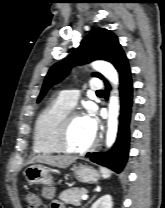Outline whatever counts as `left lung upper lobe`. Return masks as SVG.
<instances>
[{"mask_svg": "<svg viewBox=\"0 0 165 208\" xmlns=\"http://www.w3.org/2000/svg\"><path fill=\"white\" fill-rule=\"evenodd\" d=\"M124 57L122 47L113 32L104 28L91 30L90 34L82 40L80 46L70 56L50 68L37 101L39 102L44 97L51 86L64 79L74 65L102 59L117 67ZM92 75L104 79L99 73Z\"/></svg>", "mask_w": 165, "mask_h": 208, "instance_id": "obj_1", "label": "left lung upper lobe"}]
</instances>
